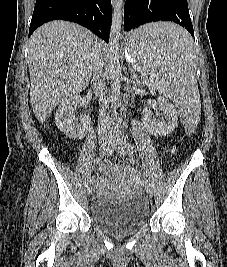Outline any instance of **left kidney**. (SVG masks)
I'll return each mask as SVG.
<instances>
[{
	"label": "left kidney",
	"instance_id": "5707ae66",
	"mask_svg": "<svg viewBox=\"0 0 227 267\" xmlns=\"http://www.w3.org/2000/svg\"><path fill=\"white\" fill-rule=\"evenodd\" d=\"M158 107L162 117L158 120L152 118V114L146 111L143 114V123L150 134L154 136H166L173 132L177 126V110L168 100L159 97Z\"/></svg>",
	"mask_w": 227,
	"mask_h": 267
}]
</instances>
